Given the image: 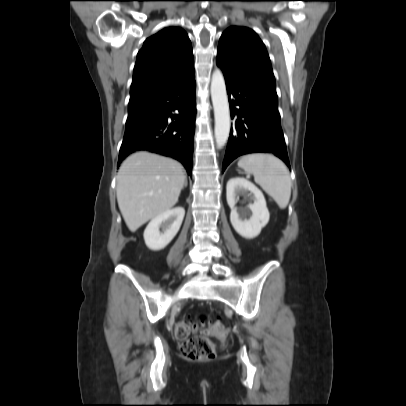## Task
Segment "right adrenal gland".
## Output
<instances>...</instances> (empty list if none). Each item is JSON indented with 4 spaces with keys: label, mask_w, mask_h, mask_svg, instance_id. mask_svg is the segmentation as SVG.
<instances>
[{
    "label": "right adrenal gland",
    "mask_w": 406,
    "mask_h": 406,
    "mask_svg": "<svg viewBox=\"0 0 406 406\" xmlns=\"http://www.w3.org/2000/svg\"><path fill=\"white\" fill-rule=\"evenodd\" d=\"M187 185H188V181H187V179H185L184 187H187Z\"/></svg>",
    "instance_id": "1"
}]
</instances>
